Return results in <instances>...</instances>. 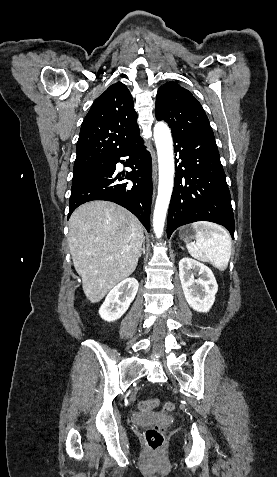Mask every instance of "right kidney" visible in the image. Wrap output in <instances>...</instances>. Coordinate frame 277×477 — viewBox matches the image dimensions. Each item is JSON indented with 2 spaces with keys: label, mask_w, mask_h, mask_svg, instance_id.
Here are the masks:
<instances>
[{
  "label": "right kidney",
  "mask_w": 277,
  "mask_h": 477,
  "mask_svg": "<svg viewBox=\"0 0 277 477\" xmlns=\"http://www.w3.org/2000/svg\"><path fill=\"white\" fill-rule=\"evenodd\" d=\"M138 287L139 283L135 278H126L116 285L99 309L101 318L108 322L119 319L134 300Z\"/></svg>",
  "instance_id": "1"
}]
</instances>
